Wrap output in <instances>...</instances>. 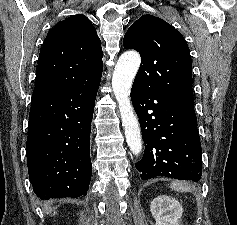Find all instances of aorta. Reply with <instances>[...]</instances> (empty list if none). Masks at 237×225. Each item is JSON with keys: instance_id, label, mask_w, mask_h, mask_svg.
<instances>
[{"instance_id": "1", "label": "aorta", "mask_w": 237, "mask_h": 225, "mask_svg": "<svg viewBox=\"0 0 237 225\" xmlns=\"http://www.w3.org/2000/svg\"><path fill=\"white\" fill-rule=\"evenodd\" d=\"M141 63L135 51L123 53L115 66L112 88L118 102L126 142L131 152L138 155L142 150L141 130L130 100V90Z\"/></svg>"}]
</instances>
